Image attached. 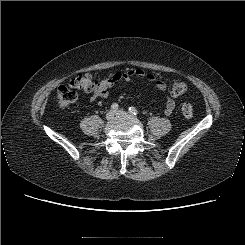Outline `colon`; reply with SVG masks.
Here are the masks:
<instances>
[{
  "instance_id": "obj_1",
  "label": "colon",
  "mask_w": 245,
  "mask_h": 245,
  "mask_svg": "<svg viewBox=\"0 0 245 245\" xmlns=\"http://www.w3.org/2000/svg\"><path fill=\"white\" fill-rule=\"evenodd\" d=\"M95 82L92 76L88 73H83L73 78L68 85L58 87L56 92L57 103L61 107H67L73 104L77 97V91L90 92L95 90ZM188 90L186 83L177 81L174 82L171 88V94L175 97L184 95ZM182 113L187 119L193 117V107L189 102H185L181 107Z\"/></svg>"
}]
</instances>
